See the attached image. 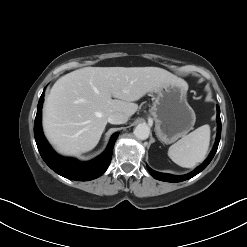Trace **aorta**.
Masks as SVG:
<instances>
[{
  "label": "aorta",
  "instance_id": "aorta-1",
  "mask_svg": "<svg viewBox=\"0 0 247 247\" xmlns=\"http://www.w3.org/2000/svg\"><path fill=\"white\" fill-rule=\"evenodd\" d=\"M134 135L140 140H146L150 134V128L146 124H139L134 129Z\"/></svg>",
  "mask_w": 247,
  "mask_h": 247
}]
</instances>
